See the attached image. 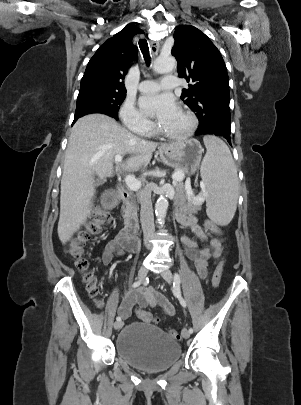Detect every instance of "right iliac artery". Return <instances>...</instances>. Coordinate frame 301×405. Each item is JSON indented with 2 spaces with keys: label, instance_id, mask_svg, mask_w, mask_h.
Wrapping results in <instances>:
<instances>
[{
  "label": "right iliac artery",
  "instance_id": "82829eb1",
  "mask_svg": "<svg viewBox=\"0 0 301 405\" xmlns=\"http://www.w3.org/2000/svg\"><path fill=\"white\" fill-rule=\"evenodd\" d=\"M145 282H149V279L146 278ZM141 283H142V281H136V282L133 283L132 287H133V288H137L138 286L141 285ZM116 321H121V317L118 316V317L116 318Z\"/></svg>",
  "mask_w": 301,
  "mask_h": 405
}]
</instances>
